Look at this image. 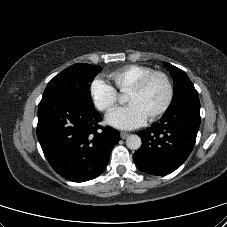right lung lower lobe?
I'll use <instances>...</instances> for the list:
<instances>
[{
    "instance_id": "1",
    "label": "right lung lower lobe",
    "mask_w": 227,
    "mask_h": 227,
    "mask_svg": "<svg viewBox=\"0 0 227 227\" xmlns=\"http://www.w3.org/2000/svg\"><path fill=\"white\" fill-rule=\"evenodd\" d=\"M99 112L69 96L41 100L37 137L43 153L62 177L84 182L97 177L106 167L120 133L102 127Z\"/></svg>"
}]
</instances>
